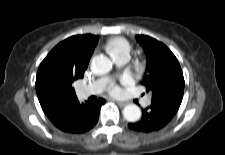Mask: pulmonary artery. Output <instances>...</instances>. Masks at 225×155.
Returning <instances> with one entry per match:
<instances>
[{
	"label": "pulmonary artery",
	"instance_id": "1",
	"mask_svg": "<svg viewBox=\"0 0 225 155\" xmlns=\"http://www.w3.org/2000/svg\"><path fill=\"white\" fill-rule=\"evenodd\" d=\"M129 58V52L126 51L113 56V59L118 66L125 64L129 60ZM109 82L110 80L107 77L100 78L87 86L81 87L78 90V95L81 98H87L91 95L99 94L108 87ZM142 104L144 106H149L151 104L150 96L145 97L142 101Z\"/></svg>",
	"mask_w": 225,
	"mask_h": 155
}]
</instances>
